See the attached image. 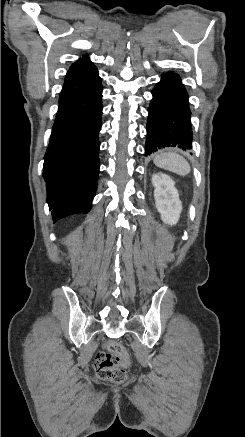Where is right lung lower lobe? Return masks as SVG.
<instances>
[{
	"mask_svg": "<svg viewBox=\"0 0 245 437\" xmlns=\"http://www.w3.org/2000/svg\"><path fill=\"white\" fill-rule=\"evenodd\" d=\"M101 81L60 93L43 177L53 222L88 213L97 188L99 131L102 114Z\"/></svg>",
	"mask_w": 245,
	"mask_h": 437,
	"instance_id": "obj_1",
	"label": "right lung lower lobe"
}]
</instances>
